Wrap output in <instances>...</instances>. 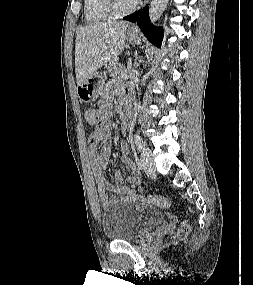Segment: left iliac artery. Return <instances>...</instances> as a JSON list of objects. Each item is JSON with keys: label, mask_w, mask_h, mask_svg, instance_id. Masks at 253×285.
<instances>
[{"label": "left iliac artery", "mask_w": 253, "mask_h": 285, "mask_svg": "<svg viewBox=\"0 0 253 285\" xmlns=\"http://www.w3.org/2000/svg\"><path fill=\"white\" fill-rule=\"evenodd\" d=\"M134 141L139 150L143 151L145 149V144L139 135L134 136Z\"/></svg>", "instance_id": "1"}]
</instances>
